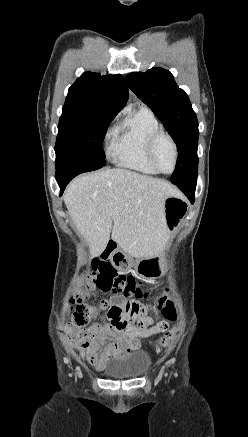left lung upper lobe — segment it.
I'll return each instance as SVG.
<instances>
[{
    "label": "left lung upper lobe",
    "instance_id": "1",
    "mask_svg": "<svg viewBox=\"0 0 248 437\" xmlns=\"http://www.w3.org/2000/svg\"><path fill=\"white\" fill-rule=\"evenodd\" d=\"M129 88L152 109L174 139L179 158L171 182L194 185L198 169V121L187 94L176 85L172 74L162 68L127 75Z\"/></svg>",
    "mask_w": 248,
    "mask_h": 437
}]
</instances>
